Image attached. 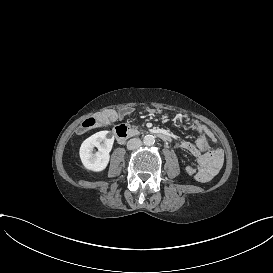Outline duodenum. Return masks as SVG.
<instances>
[{
	"instance_id": "duodenum-1",
	"label": "duodenum",
	"mask_w": 273,
	"mask_h": 273,
	"mask_svg": "<svg viewBox=\"0 0 273 273\" xmlns=\"http://www.w3.org/2000/svg\"><path fill=\"white\" fill-rule=\"evenodd\" d=\"M137 133H138L137 130L129 128L125 125H119L115 128V135H116L118 142H120V143H123L126 139L136 135ZM156 135L164 141L171 140L170 135L165 132H157Z\"/></svg>"
}]
</instances>
